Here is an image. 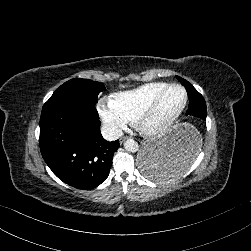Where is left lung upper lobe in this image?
Segmentation results:
<instances>
[{
	"label": "left lung upper lobe",
	"mask_w": 251,
	"mask_h": 251,
	"mask_svg": "<svg viewBox=\"0 0 251 251\" xmlns=\"http://www.w3.org/2000/svg\"><path fill=\"white\" fill-rule=\"evenodd\" d=\"M176 78L185 86L187 93H192L195 98H203L202 95L185 79L176 76Z\"/></svg>",
	"instance_id": "obj_1"
}]
</instances>
